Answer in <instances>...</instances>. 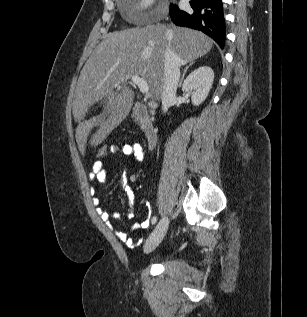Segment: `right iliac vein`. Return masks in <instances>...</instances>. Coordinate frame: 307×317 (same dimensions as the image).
Instances as JSON below:
<instances>
[{
	"label": "right iliac vein",
	"mask_w": 307,
	"mask_h": 317,
	"mask_svg": "<svg viewBox=\"0 0 307 317\" xmlns=\"http://www.w3.org/2000/svg\"><path fill=\"white\" fill-rule=\"evenodd\" d=\"M168 224H169L168 217L164 216L160 220V222L157 224L153 232L150 234V236L148 237L144 246L145 252H151L159 245V243L162 241V239L164 238L166 234V231L168 229Z\"/></svg>",
	"instance_id": "right-iliac-vein-1"
}]
</instances>
